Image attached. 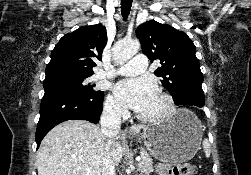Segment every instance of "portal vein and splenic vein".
<instances>
[{"instance_id": "18ae733b", "label": "portal vein and splenic vein", "mask_w": 251, "mask_h": 175, "mask_svg": "<svg viewBox=\"0 0 251 175\" xmlns=\"http://www.w3.org/2000/svg\"><path fill=\"white\" fill-rule=\"evenodd\" d=\"M136 159H137V161H140L141 157H139V155H138V157H136ZM84 175H89V173H84Z\"/></svg>"}]
</instances>
